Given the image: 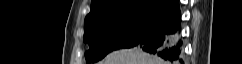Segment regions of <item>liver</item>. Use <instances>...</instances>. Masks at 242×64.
<instances>
[{"mask_svg": "<svg viewBox=\"0 0 242 64\" xmlns=\"http://www.w3.org/2000/svg\"><path fill=\"white\" fill-rule=\"evenodd\" d=\"M162 60L139 48L123 49L110 53L99 64H162Z\"/></svg>", "mask_w": 242, "mask_h": 64, "instance_id": "1", "label": "liver"}]
</instances>
